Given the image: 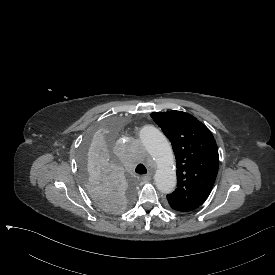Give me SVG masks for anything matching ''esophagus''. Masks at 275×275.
<instances>
[{
	"instance_id": "34e87169",
	"label": "esophagus",
	"mask_w": 275,
	"mask_h": 275,
	"mask_svg": "<svg viewBox=\"0 0 275 275\" xmlns=\"http://www.w3.org/2000/svg\"><path fill=\"white\" fill-rule=\"evenodd\" d=\"M141 179L143 181H150L151 180V176L150 175H145V176H142Z\"/></svg>"
}]
</instances>
